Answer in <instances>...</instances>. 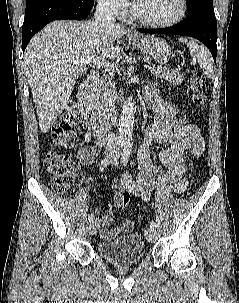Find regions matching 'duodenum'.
Returning <instances> with one entry per match:
<instances>
[{
	"label": "duodenum",
	"instance_id": "1",
	"mask_svg": "<svg viewBox=\"0 0 239 303\" xmlns=\"http://www.w3.org/2000/svg\"><path fill=\"white\" fill-rule=\"evenodd\" d=\"M99 80L97 72H91L82 82L78 92V107L83 125L95 136L103 137L112 128L113 116L98 113L94 108V91Z\"/></svg>",
	"mask_w": 239,
	"mask_h": 303
}]
</instances>
